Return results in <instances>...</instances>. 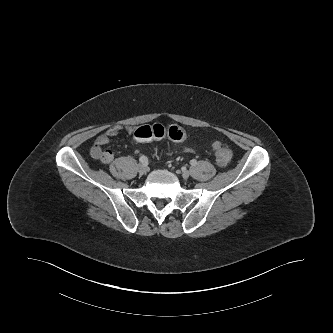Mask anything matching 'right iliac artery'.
<instances>
[{"instance_id": "right-iliac-artery-1", "label": "right iliac artery", "mask_w": 333, "mask_h": 333, "mask_svg": "<svg viewBox=\"0 0 333 333\" xmlns=\"http://www.w3.org/2000/svg\"><path fill=\"white\" fill-rule=\"evenodd\" d=\"M139 161L143 164H147L148 163V158L146 156H141L139 158Z\"/></svg>"}]
</instances>
